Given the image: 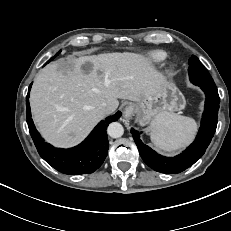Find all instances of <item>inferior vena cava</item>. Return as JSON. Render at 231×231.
<instances>
[{
  "mask_svg": "<svg viewBox=\"0 0 231 231\" xmlns=\"http://www.w3.org/2000/svg\"><path fill=\"white\" fill-rule=\"evenodd\" d=\"M100 110H102L104 113H107V114L111 112V109L106 102H103L100 105Z\"/></svg>",
  "mask_w": 231,
  "mask_h": 231,
  "instance_id": "1",
  "label": "inferior vena cava"
}]
</instances>
